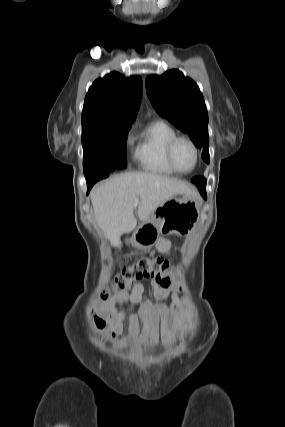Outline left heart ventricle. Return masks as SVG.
Here are the masks:
<instances>
[{"mask_svg": "<svg viewBox=\"0 0 285 427\" xmlns=\"http://www.w3.org/2000/svg\"><path fill=\"white\" fill-rule=\"evenodd\" d=\"M174 160L180 170H190L195 162V154L192 146L185 141L179 142L174 150Z\"/></svg>", "mask_w": 285, "mask_h": 427, "instance_id": "left-heart-ventricle-1", "label": "left heart ventricle"}]
</instances>
